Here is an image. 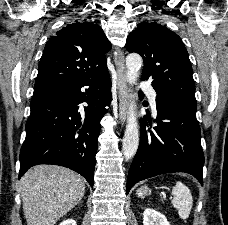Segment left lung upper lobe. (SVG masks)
Segmentation results:
<instances>
[{
  "mask_svg": "<svg viewBox=\"0 0 228 225\" xmlns=\"http://www.w3.org/2000/svg\"><path fill=\"white\" fill-rule=\"evenodd\" d=\"M125 47L142 56V80L153 79L158 97L197 105L191 63L176 33L156 22H141L129 34Z\"/></svg>",
  "mask_w": 228,
  "mask_h": 225,
  "instance_id": "1",
  "label": "left lung upper lobe"
}]
</instances>
